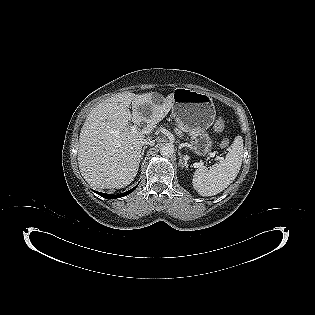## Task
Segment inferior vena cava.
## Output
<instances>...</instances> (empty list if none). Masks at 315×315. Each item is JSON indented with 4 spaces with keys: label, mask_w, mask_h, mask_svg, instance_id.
<instances>
[{
    "label": "inferior vena cava",
    "mask_w": 315,
    "mask_h": 315,
    "mask_svg": "<svg viewBox=\"0 0 315 315\" xmlns=\"http://www.w3.org/2000/svg\"><path fill=\"white\" fill-rule=\"evenodd\" d=\"M155 144V140H151V139H144L142 141V145H151L153 146Z\"/></svg>",
    "instance_id": "1"
}]
</instances>
